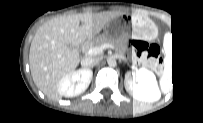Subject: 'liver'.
Here are the masks:
<instances>
[{"label": "liver", "instance_id": "liver-1", "mask_svg": "<svg viewBox=\"0 0 203 123\" xmlns=\"http://www.w3.org/2000/svg\"><path fill=\"white\" fill-rule=\"evenodd\" d=\"M124 14L108 11L61 16L42 26L35 36L30 55L37 86L51 99L58 100L60 80L73 72L80 60L74 47L97 36L109 22ZM80 22L82 26H79Z\"/></svg>", "mask_w": 203, "mask_h": 123}]
</instances>
